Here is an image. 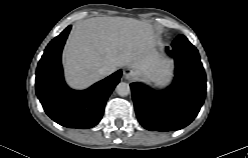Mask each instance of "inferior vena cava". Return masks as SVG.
<instances>
[{
  "label": "inferior vena cava",
  "mask_w": 248,
  "mask_h": 158,
  "mask_svg": "<svg viewBox=\"0 0 248 158\" xmlns=\"http://www.w3.org/2000/svg\"><path fill=\"white\" fill-rule=\"evenodd\" d=\"M112 70L109 66H103L99 69V73L101 76H108L111 74Z\"/></svg>",
  "instance_id": "602c4592"
}]
</instances>
